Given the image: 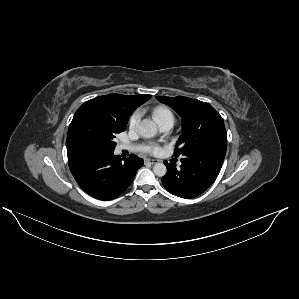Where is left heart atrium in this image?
<instances>
[{"label":"left heart atrium","instance_id":"left-heart-atrium-1","mask_svg":"<svg viewBox=\"0 0 299 299\" xmlns=\"http://www.w3.org/2000/svg\"><path fill=\"white\" fill-rule=\"evenodd\" d=\"M149 151L152 153V154H156L159 152V149L156 145H153L149 148Z\"/></svg>","mask_w":299,"mask_h":299}]
</instances>
